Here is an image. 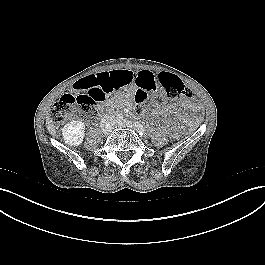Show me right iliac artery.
<instances>
[{"label":"right iliac artery","instance_id":"1","mask_svg":"<svg viewBox=\"0 0 265 265\" xmlns=\"http://www.w3.org/2000/svg\"><path fill=\"white\" fill-rule=\"evenodd\" d=\"M117 120L119 122L123 121V115L122 114L117 115Z\"/></svg>","mask_w":265,"mask_h":265}]
</instances>
